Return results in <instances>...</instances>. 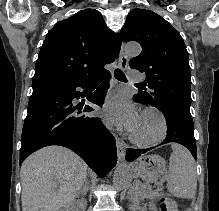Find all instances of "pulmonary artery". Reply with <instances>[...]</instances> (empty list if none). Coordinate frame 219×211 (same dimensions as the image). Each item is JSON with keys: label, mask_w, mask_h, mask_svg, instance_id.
I'll use <instances>...</instances> for the list:
<instances>
[{"label": "pulmonary artery", "mask_w": 219, "mask_h": 211, "mask_svg": "<svg viewBox=\"0 0 219 211\" xmlns=\"http://www.w3.org/2000/svg\"><path fill=\"white\" fill-rule=\"evenodd\" d=\"M130 74H137L138 70L137 69H130L129 70ZM131 80H143V75H131Z\"/></svg>", "instance_id": "pulmonary-artery-1"}]
</instances>
